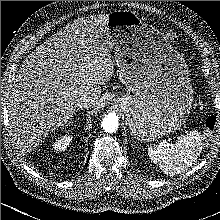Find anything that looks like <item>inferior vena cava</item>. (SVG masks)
<instances>
[{
	"mask_svg": "<svg viewBox=\"0 0 220 220\" xmlns=\"http://www.w3.org/2000/svg\"><path fill=\"white\" fill-rule=\"evenodd\" d=\"M94 104V98L90 95H82L77 100V109L89 108Z\"/></svg>",
	"mask_w": 220,
	"mask_h": 220,
	"instance_id": "obj_1",
	"label": "inferior vena cava"
}]
</instances>
